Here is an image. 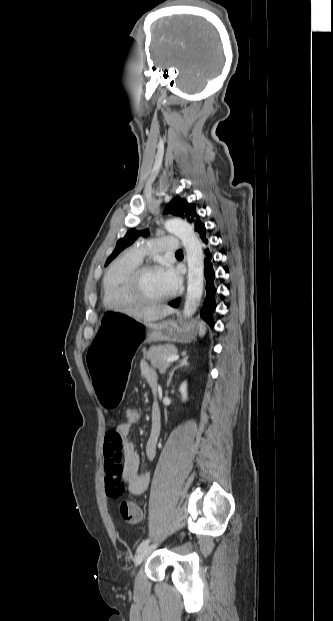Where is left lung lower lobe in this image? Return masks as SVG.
<instances>
[{"label": "left lung lower lobe", "mask_w": 333, "mask_h": 621, "mask_svg": "<svg viewBox=\"0 0 333 621\" xmlns=\"http://www.w3.org/2000/svg\"><path fill=\"white\" fill-rule=\"evenodd\" d=\"M196 232H197L198 240L200 244L202 245V247L205 248L204 249V254H205L204 276L206 279V296H205V300H204L203 306L200 311V315H201V318L210 325V327H213L214 321H213L212 314L216 308L215 296H216V290H217L214 284L215 272L213 269V256L208 246L209 241H208V237L206 234L205 225L203 224L201 227L196 229ZM179 301H180V298H177L174 301H172L170 305L173 307H178Z\"/></svg>", "instance_id": "left-lung-lower-lobe-1"}]
</instances>
